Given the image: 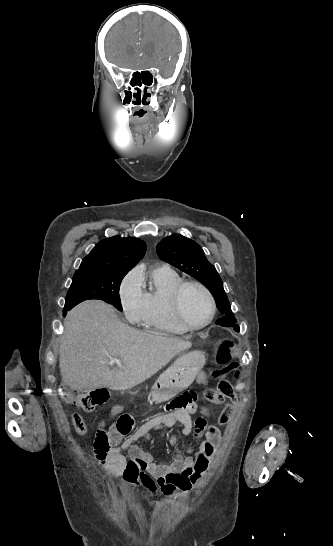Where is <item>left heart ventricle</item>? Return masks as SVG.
<instances>
[{
  "label": "left heart ventricle",
  "mask_w": 333,
  "mask_h": 546,
  "mask_svg": "<svg viewBox=\"0 0 333 546\" xmlns=\"http://www.w3.org/2000/svg\"><path fill=\"white\" fill-rule=\"evenodd\" d=\"M181 306L185 319L192 325L204 323L210 315V305L205 293L195 286L184 289Z\"/></svg>",
  "instance_id": "left-heart-ventricle-1"
}]
</instances>
